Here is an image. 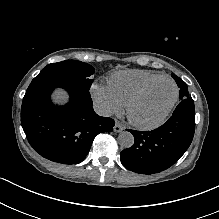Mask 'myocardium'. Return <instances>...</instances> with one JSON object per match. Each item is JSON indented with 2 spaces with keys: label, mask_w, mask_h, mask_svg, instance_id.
Returning <instances> with one entry per match:
<instances>
[{
  "label": "myocardium",
  "mask_w": 219,
  "mask_h": 219,
  "mask_svg": "<svg viewBox=\"0 0 219 219\" xmlns=\"http://www.w3.org/2000/svg\"><path fill=\"white\" fill-rule=\"evenodd\" d=\"M161 81H169L173 84L175 92L172 100L169 102V104L165 107V109L162 111V113L159 115L158 118L152 121H141L136 119L133 116V110L134 108L143 100V98ZM179 95V89L177 84L174 80L168 77H161L159 79H156L155 81L151 82L147 86H145L142 90H140L135 96L132 97V99L128 102L126 106V116L129 120V122L138 128L142 129H152L159 125H161L169 115L170 111L174 107Z\"/></svg>",
  "instance_id": "f54148a6"
}]
</instances>
